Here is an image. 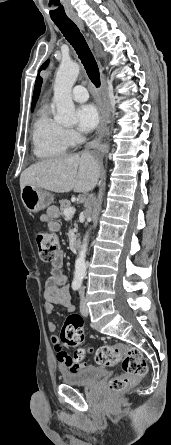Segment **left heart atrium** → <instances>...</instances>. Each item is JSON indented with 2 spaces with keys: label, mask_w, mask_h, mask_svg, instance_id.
Instances as JSON below:
<instances>
[{
  "label": "left heart atrium",
  "mask_w": 171,
  "mask_h": 445,
  "mask_svg": "<svg viewBox=\"0 0 171 445\" xmlns=\"http://www.w3.org/2000/svg\"><path fill=\"white\" fill-rule=\"evenodd\" d=\"M78 127L83 132L93 130L99 122V113L92 104H84L77 110Z\"/></svg>",
  "instance_id": "39dd6f15"
}]
</instances>
